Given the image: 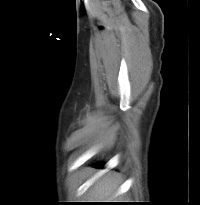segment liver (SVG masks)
Here are the masks:
<instances>
[{
    "label": "liver",
    "instance_id": "obj_1",
    "mask_svg": "<svg viewBox=\"0 0 200 205\" xmlns=\"http://www.w3.org/2000/svg\"><path fill=\"white\" fill-rule=\"evenodd\" d=\"M118 185V178L111 175L104 176L94 184L93 196L100 200L108 199L115 193Z\"/></svg>",
    "mask_w": 200,
    "mask_h": 205
}]
</instances>
